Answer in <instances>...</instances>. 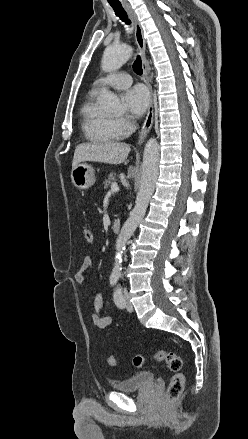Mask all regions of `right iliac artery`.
I'll use <instances>...</instances> for the list:
<instances>
[{
  "instance_id": "right-iliac-artery-1",
  "label": "right iliac artery",
  "mask_w": 248,
  "mask_h": 439,
  "mask_svg": "<svg viewBox=\"0 0 248 439\" xmlns=\"http://www.w3.org/2000/svg\"><path fill=\"white\" fill-rule=\"evenodd\" d=\"M119 275L111 274L110 276V284L114 286L118 281Z\"/></svg>"
}]
</instances>
